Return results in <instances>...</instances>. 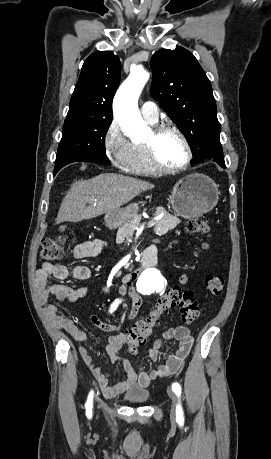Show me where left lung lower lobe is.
I'll use <instances>...</instances> for the list:
<instances>
[{
    "mask_svg": "<svg viewBox=\"0 0 271 459\" xmlns=\"http://www.w3.org/2000/svg\"><path fill=\"white\" fill-rule=\"evenodd\" d=\"M207 160H213V161H215L218 165H220L221 167L226 168L225 162H224V157H223L222 149H221V152H219V153H217V154H215V155H210V156H208L206 159H204L203 161H207Z\"/></svg>",
    "mask_w": 271,
    "mask_h": 459,
    "instance_id": "0a47b994",
    "label": "left lung lower lobe"
}]
</instances>
